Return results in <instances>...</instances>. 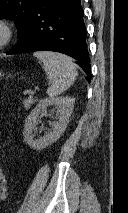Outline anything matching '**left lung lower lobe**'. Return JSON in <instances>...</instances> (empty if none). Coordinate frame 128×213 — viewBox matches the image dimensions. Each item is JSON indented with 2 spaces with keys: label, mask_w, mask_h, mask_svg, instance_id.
I'll return each instance as SVG.
<instances>
[{
  "label": "left lung lower lobe",
  "mask_w": 128,
  "mask_h": 213,
  "mask_svg": "<svg viewBox=\"0 0 128 213\" xmlns=\"http://www.w3.org/2000/svg\"><path fill=\"white\" fill-rule=\"evenodd\" d=\"M83 16L80 0H38L17 44L7 54L60 52L78 60L90 77Z\"/></svg>",
  "instance_id": "obj_1"
}]
</instances>
